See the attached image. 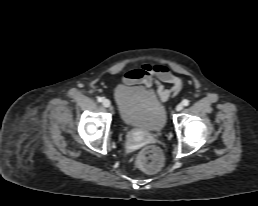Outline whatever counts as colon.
Returning <instances> with one entry per match:
<instances>
[{
    "instance_id": "colon-1",
    "label": "colon",
    "mask_w": 258,
    "mask_h": 206,
    "mask_svg": "<svg viewBox=\"0 0 258 206\" xmlns=\"http://www.w3.org/2000/svg\"><path fill=\"white\" fill-rule=\"evenodd\" d=\"M134 163L141 170L156 172L163 164V155L156 146H148L135 155Z\"/></svg>"
}]
</instances>
